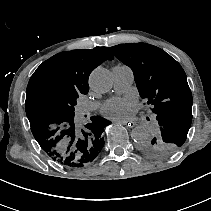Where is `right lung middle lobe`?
I'll return each instance as SVG.
<instances>
[{
	"mask_svg": "<svg viewBox=\"0 0 211 211\" xmlns=\"http://www.w3.org/2000/svg\"><path fill=\"white\" fill-rule=\"evenodd\" d=\"M78 97L76 94H54L48 96L42 105L40 114L46 124L39 131L46 133L45 141L49 143L53 154H49L50 148L44 149V151L54 161L58 162L60 160L62 163L71 152H74L75 155L74 159H70L71 161L76 163L79 159L80 154L75 150L74 145L70 143L69 137L61 135L64 129L69 127L70 123H74L78 137H81V131L86 128V125L83 127L75 117V105ZM103 126V124H99L93 119V125H89L87 128L97 130L101 134L104 130Z\"/></svg>",
	"mask_w": 211,
	"mask_h": 211,
	"instance_id": "1",
	"label": "right lung middle lobe"
}]
</instances>
